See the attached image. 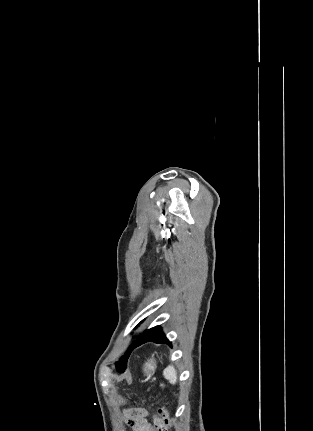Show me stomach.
<instances>
[{
    "label": "stomach",
    "instance_id": "stomach-1",
    "mask_svg": "<svg viewBox=\"0 0 313 431\" xmlns=\"http://www.w3.org/2000/svg\"><path fill=\"white\" fill-rule=\"evenodd\" d=\"M157 368L156 361L154 358H150L143 366V372L145 375H152Z\"/></svg>",
    "mask_w": 313,
    "mask_h": 431
}]
</instances>
